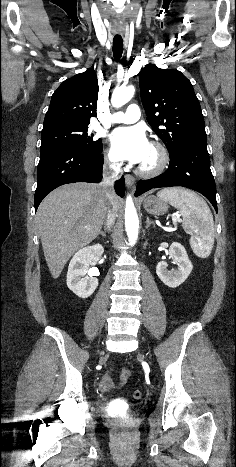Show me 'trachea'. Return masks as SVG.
Segmentation results:
<instances>
[{"instance_id":"trachea-1","label":"trachea","mask_w":236,"mask_h":467,"mask_svg":"<svg viewBox=\"0 0 236 467\" xmlns=\"http://www.w3.org/2000/svg\"><path fill=\"white\" fill-rule=\"evenodd\" d=\"M123 53V39L115 37L113 39V56L115 61H119Z\"/></svg>"}]
</instances>
